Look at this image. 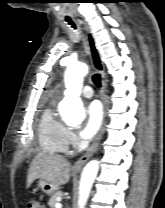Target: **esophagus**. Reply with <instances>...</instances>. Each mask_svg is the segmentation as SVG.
<instances>
[{
	"instance_id": "1",
	"label": "esophagus",
	"mask_w": 165,
	"mask_h": 208,
	"mask_svg": "<svg viewBox=\"0 0 165 208\" xmlns=\"http://www.w3.org/2000/svg\"><path fill=\"white\" fill-rule=\"evenodd\" d=\"M84 29L87 34V42L90 50L91 60L93 67L96 71H98L101 75V101L103 104V110H104V122L103 126L101 127L94 143L88 148V150L75 162L73 169L74 170H81L82 167L85 165V163L92 157V155L96 152L99 143L103 137L104 130H105V124H106V113H107V101H106V89H107V78L105 75V68L104 64L101 60V56L99 54V51L96 47L94 36L89 29L87 25H84Z\"/></svg>"
}]
</instances>
